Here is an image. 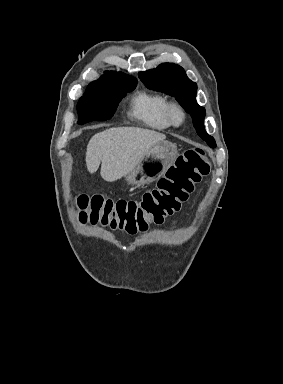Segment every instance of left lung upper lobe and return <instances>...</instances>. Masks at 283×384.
<instances>
[{"mask_svg": "<svg viewBox=\"0 0 283 384\" xmlns=\"http://www.w3.org/2000/svg\"><path fill=\"white\" fill-rule=\"evenodd\" d=\"M139 77L148 88L175 97L192 116L198 135L210 147H216L215 140L204 129L205 109L196 102L197 85L186 76L182 67L163 63L156 69L139 73Z\"/></svg>", "mask_w": 283, "mask_h": 384, "instance_id": "1", "label": "left lung upper lobe"}]
</instances>
